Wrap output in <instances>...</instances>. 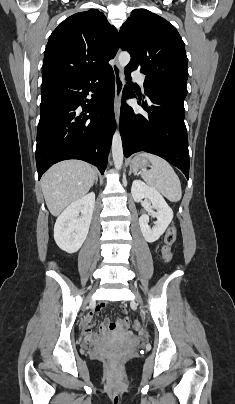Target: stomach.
Masks as SVG:
<instances>
[{"instance_id":"0dacf381","label":"stomach","mask_w":235,"mask_h":404,"mask_svg":"<svg viewBox=\"0 0 235 404\" xmlns=\"http://www.w3.org/2000/svg\"><path fill=\"white\" fill-rule=\"evenodd\" d=\"M149 166L148 160L140 155L135 156L130 164V168L135 172H143L146 171V168Z\"/></svg>"}]
</instances>
